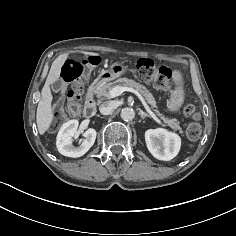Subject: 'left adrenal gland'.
<instances>
[{
  "label": "left adrenal gland",
  "mask_w": 236,
  "mask_h": 236,
  "mask_svg": "<svg viewBox=\"0 0 236 236\" xmlns=\"http://www.w3.org/2000/svg\"><path fill=\"white\" fill-rule=\"evenodd\" d=\"M138 114L140 115V117H141V119L143 120V122H145L144 119H145L146 117L150 118V116H149L147 113H145L144 111H142V110H139Z\"/></svg>",
  "instance_id": "left-adrenal-gland-1"
}]
</instances>
